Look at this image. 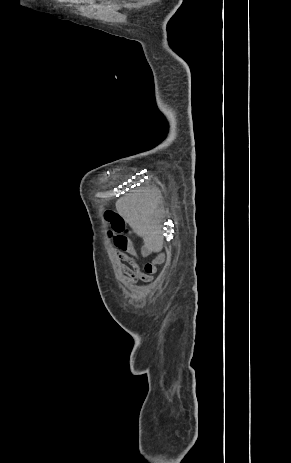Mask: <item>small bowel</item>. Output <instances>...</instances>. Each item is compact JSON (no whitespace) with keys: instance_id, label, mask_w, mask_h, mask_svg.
I'll use <instances>...</instances> for the list:
<instances>
[{"instance_id":"1","label":"small bowel","mask_w":291,"mask_h":463,"mask_svg":"<svg viewBox=\"0 0 291 463\" xmlns=\"http://www.w3.org/2000/svg\"><path fill=\"white\" fill-rule=\"evenodd\" d=\"M115 252L120 260V269L123 272L125 282L135 284L139 281L151 282L153 274L156 272V265L162 263L163 256L158 255L153 261L145 265V272L140 268V259L148 256L153 248L145 245L138 249L128 235L116 236L113 235ZM147 265H151V269L147 270Z\"/></svg>"}]
</instances>
